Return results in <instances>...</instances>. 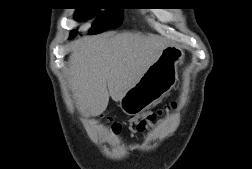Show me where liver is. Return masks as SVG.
Listing matches in <instances>:
<instances>
[{
  "label": "liver",
  "mask_w": 252,
  "mask_h": 169,
  "mask_svg": "<svg viewBox=\"0 0 252 169\" xmlns=\"http://www.w3.org/2000/svg\"><path fill=\"white\" fill-rule=\"evenodd\" d=\"M166 46L159 36L129 32L82 43L69 57V83L77 105L90 116L100 115L109 97L119 102Z\"/></svg>",
  "instance_id": "liver-1"
}]
</instances>
